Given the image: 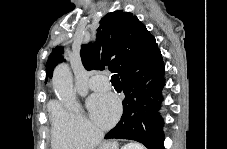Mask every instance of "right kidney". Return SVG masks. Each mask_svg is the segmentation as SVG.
Listing matches in <instances>:
<instances>
[{
    "mask_svg": "<svg viewBox=\"0 0 227 149\" xmlns=\"http://www.w3.org/2000/svg\"><path fill=\"white\" fill-rule=\"evenodd\" d=\"M124 149H139V147L136 144H129L125 146Z\"/></svg>",
    "mask_w": 227,
    "mask_h": 149,
    "instance_id": "1",
    "label": "right kidney"
}]
</instances>
